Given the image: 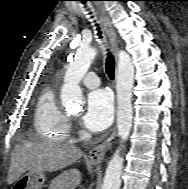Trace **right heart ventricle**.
<instances>
[{"mask_svg": "<svg viewBox=\"0 0 188 189\" xmlns=\"http://www.w3.org/2000/svg\"><path fill=\"white\" fill-rule=\"evenodd\" d=\"M34 128L39 135L52 141L62 142L67 138L68 116L59 107L52 86H46L38 96Z\"/></svg>", "mask_w": 188, "mask_h": 189, "instance_id": "right-heart-ventricle-1", "label": "right heart ventricle"}]
</instances>
